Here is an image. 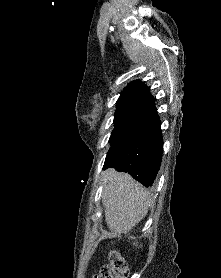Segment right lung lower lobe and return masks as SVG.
I'll list each match as a JSON object with an SVG mask.
<instances>
[{"label": "right lung lower lobe", "instance_id": "obj_1", "mask_svg": "<svg viewBox=\"0 0 221 278\" xmlns=\"http://www.w3.org/2000/svg\"><path fill=\"white\" fill-rule=\"evenodd\" d=\"M154 99L148 104L154 114L127 141L109 153L104 168L114 167L118 171L128 172L144 186L152 185L160 169L163 138L160 119L154 107Z\"/></svg>", "mask_w": 221, "mask_h": 278}]
</instances>
